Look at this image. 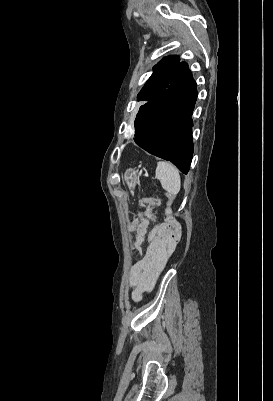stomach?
I'll return each mask as SVG.
<instances>
[{
	"label": "stomach",
	"instance_id": "obj_1",
	"mask_svg": "<svg viewBox=\"0 0 273 401\" xmlns=\"http://www.w3.org/2000/svg\"><path fill=\"white\" fill-rule=\"evenodd\" d=\"M125 184H127L128 188H131V192H133L136 184H139V174H137V170L135 168H127L124 174Z\"/></svg>",
	"mask_w": 273,
	"mask_h": 401
}]
</instances>
